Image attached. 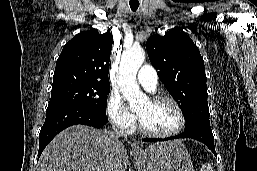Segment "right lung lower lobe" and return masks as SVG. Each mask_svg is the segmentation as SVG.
Listing matches in <instances>:
<instances>
[{
  "mask_svg": "<svg viewBox=\"0 0 257 171\" xmlns=\"http://www.w3.org/2000/svg\"><path fill=\"white\" fill-rule=\"evenodd\" d=\"M107 120L106 115H101L81 105L64 104L48 107L46 119L39 134L38 158L46 145L65 128L76 124L101 128Z\"/></svg>",
  "mask_w": 257,
  "mask_h": 171,
  "instance_id": "right-lung-lower-lobe-1",
  "label": "right lung lower lobe"
}]
</instances>
